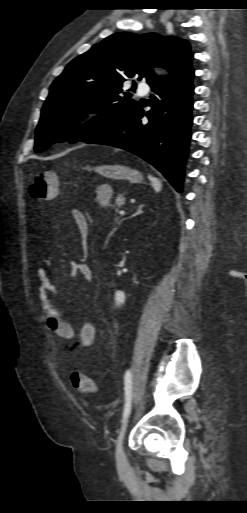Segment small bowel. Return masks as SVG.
<instances>
[{
    "label": "small bowel",
    "instance_id": "obj_1",
    "mask_svg": "<svg viewBox=\"0 0 247 513\" xmlns=\"http://www.w3.org/2000/svg\"><path fill=\"white\" fill-rule=\"evenodd\" d=\"M70 217L79 231L82 240L86 241L89 234L87 219L82 212L76 209L70 212ZM70 266L71 272L81 278L84 283L91 281V269L83 261H72ZM34 275L37 281L35 289L36 298L46 316L47 326L63 341L75 346L77 351L83 352L88 350L96 339L94 325L81 317L77 319L76 325L66 321L65 312L52 299L53 296L59 293V286L43 268H36Z\"/></svg>",
    "mask_w": 247,
    "mask_h": 513
}]
</instances>
